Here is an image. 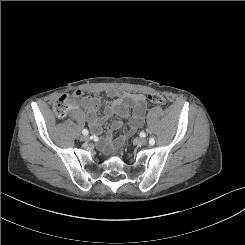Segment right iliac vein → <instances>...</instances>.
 <instances>
[{
	"instance_id": "right-iliac-vein-1",
	"label": "right iliac vein",
	"mask_w": 245,
	"mask_h": 245,
	"mask_svg": "<svg viewBox=\"0 0 245 245\" xmlns=\"http://www.w3.org/2000/svg\"><path fill=\"white\" fill-rule=\"evenodd\" d=\"M80 138H81V140H83V141H85V140L88 139V137H87L86 135H82Z\"/></svg>"
}]
</instances>
